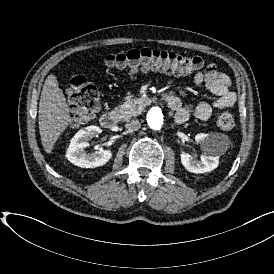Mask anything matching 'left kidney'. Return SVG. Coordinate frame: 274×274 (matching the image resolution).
Returning a JSON list of instances; mask_svg holds the SVG:
<instances>
[{
	"mask_svg": "<svg viewBox=\"0 0 274 274\" xmlns=\"http://www.w3.org/2000/svg\"><path fill=\"white\" fill-rule=\"evenodd\" d=\"M196 143L200 144L203 156L200 161L195 160L189 154L181 155V162L189 172L195 174L207 173L219 166V157L226 152L224 135L220 133H198L195 136Z\"/></svg>",
	"mask_w": 274,
	"mask_h": 274,
	"instance_id": "5707ae66",
	"label": "left kidney"
}]
</instances>
